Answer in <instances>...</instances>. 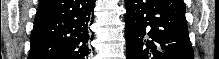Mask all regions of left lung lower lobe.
<instances>
[{"label": "left lung lower lobe", "mask_w": 219, "mask_h": 59, "mask_svg": "<svg viewBox=\"0 0 219 59\" xmlns=\"http://www.w3.org/2000/svg\"><path fill=\"white\" fill-rule=\"evenodd\" d=\"M127 59H193L183 0H125Z\"/></svg>", "instance_id": "obj_1"}]
</instances>
